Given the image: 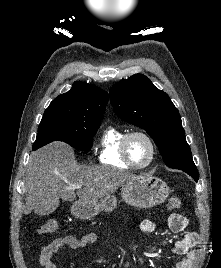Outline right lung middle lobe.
Segmentation results:
<instances>
[{"label":"right lung middle lobe","mask_w":221,"mask_h":268,"mask_svg":"<svg viewBox=\"0 0 221 268\" xmlns=\"http://www.w3.org/2000/svg\"><path fill=\"white\" fill-rule=\"evenodd\" d=\"M99 126L100 121L85 120L59 112H44L33 150L58 140L88 152Z\"/></svg>","instance_id":"right-lung-middle-lobe-1"}]
</instances>
